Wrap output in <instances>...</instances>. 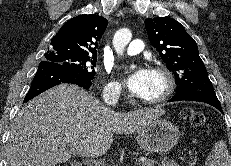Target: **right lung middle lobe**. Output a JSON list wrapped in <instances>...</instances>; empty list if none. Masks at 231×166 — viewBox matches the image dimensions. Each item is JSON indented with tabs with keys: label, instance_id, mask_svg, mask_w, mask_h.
<instances>
[{
	"label": "right lung middle lobe",
	"instance_id": "1",
	"mask_svg": "<svg viewBox=\"0 0 231 166\" xmlns=\"http://www.w3.org/2000/svg\"><path fill=\"white\" fill-rule=\"evenodd\" d=\"M46 61L64 66L76 73H79L89 79L95 75L94 66L97 57L90 56H48L45 55Z\"/></svg>",
	"mask_w": 231,
	"mask_h": 166
}]
</instances>
